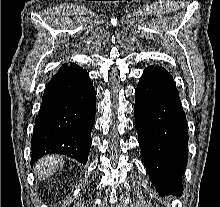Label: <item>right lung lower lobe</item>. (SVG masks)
<instances>
[{
  "label": "right lung lower lobe",
  "instance_id": "right-lung-lower-lobe-1",
  "mask_svg": "<svg viewBox=\"0 0 220 207\" xmlns=\"http://www.w3.org/2000/svg\"><path fill=\"white\" fill-rule=\"evenodd\" d=\"M96 92L87 71L64 64L49 81L31 139L33 164L60 153L85 164L91 147Z\"/></svg>",
  "mask_w": 220,
  "mask_h": 207
}]
</instances>
